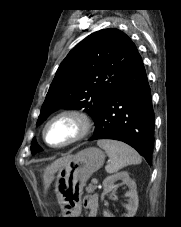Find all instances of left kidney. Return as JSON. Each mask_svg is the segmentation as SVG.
<instances>
[{"instance_id":"left-kidney-1","label":"left kidney","mask_w":181,"mask_h":227,"mask_svg":"<svg viewBox=\"0 0 181 227\" xmlns=\"http://www.w3.org/2000/svg\"><path fill=\"white\" fill-rule=\"evenodd\" d=\"M121 180L129 188L126 196L129 198L128 204L125 205L127 213L123 217H134L138 208V194L136 191V183L129 177L128 172L122 171L114 175L108 176L103 181L104 192L102 194V199L105 194L115 189V182ZM108 212L104 211V216H107Z\"/></svg>"}]
</instances>
